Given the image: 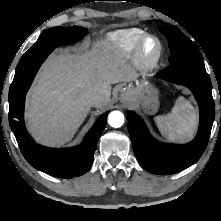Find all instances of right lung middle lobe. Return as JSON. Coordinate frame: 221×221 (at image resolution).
Here are the masks:
<instances>
[{"label":"right lung middle lobe","instance_id":"right-lung-middle-lobe-1","mask_svg":"<svg viewBox=\"0 0 221 221\" xmlns=\"http://www.w3.org/2000/svg\"><path fill=\"white\" fill-rule=\"evenodd\" d=\"M87 33L82 27H54L44 31L20 59L9 90V102L29 89L33 78L46 57L59 45L79 41Z\"/></svg>","mask_w":221,"mask_h":221}]
</instances>
